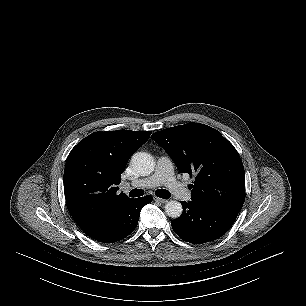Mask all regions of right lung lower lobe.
Wrapping results in <instances>:
<instances>
[{
  "label": "right lung lower lobe",
  "mask_w": 306,
  "mask_h": 306,
  "mask_svg": "<svg viewBox=\"0 0 306 306\" xmlns=\"http://www.w3.org/2000/svg\"><path fill=\"white\" fill-rule=\"evenodd\" d=\"M151 201V195L131 198L107 224L88 236L104 243L122 240L136 228L142 207Z\"/></svg>",
  "instance_id": "1"
}]
</instances>
